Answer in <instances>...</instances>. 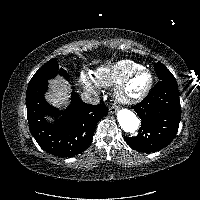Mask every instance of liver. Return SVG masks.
<instances>
[{
	"label": "liver",
	"mask_w": 200,
	"mask_h": 200,
	"mask_svg": "<svg viewBox=\"0 0 200 200\" xmlns=\"http://www.w3.org/2000/svg\"><path fill=\"white\" fill-rule=\"evenodd\" d=\"M50 91L46 94V100L55 106H62L69 101L68 83L62 79H54L49 82Z\"/></svg>",
	"instance_id": "1"
}]
</instances>
